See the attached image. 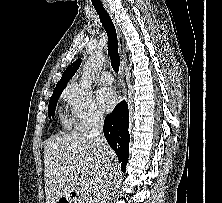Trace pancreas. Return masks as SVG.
<instances>
[{"mask_svg": "<svg viewBox=\"0 0 222 203\" xmlns=\"http://www.w3.org/2000/svg\"><path fill=\"white\" fill-rule=\"evenodd\" d=\"M83 201H85L86 203H93V200H92V195H87L83 198ZM83 202V203H85Z\"/></svg>", "mask_w": 222, "mask_h": 203, "instance_id": "obj_1", "label": "pancreas"}]
</instances>
